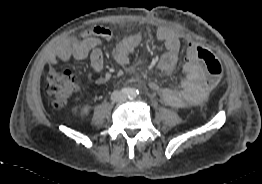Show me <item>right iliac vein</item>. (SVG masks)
<instances>
[{
  "instance_id": "63e3f726",
  "label": "right iliac vein",
  "mask_w": 262,
  "mask_h": 184,
  "mask_svg": "<svg viewBox=\"0 0 262 184\" xmlns=\"http://www.w3.org/2000/svg\"><path fill=\"white\" fill-rule=\"evenodd\" d=\"M117 99L119 100V99H120V97H119V96H117Z\"/></svg>"
}]
</instances>
